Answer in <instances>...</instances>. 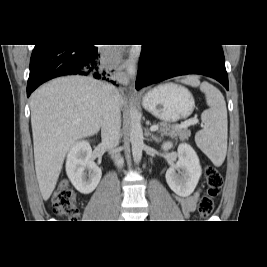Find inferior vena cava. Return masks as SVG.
Returning <instances> with one entry per match:
<instances>
[{"mask_svg": "<svg viewBox=\"0 0 267 267\" xmlns=\"http://www.w3.org/2000/svg\"><path fill=\"white\" fill-rule=\"evenodd\" d=\"M106 99H105V114L101 126L102 145L113 151L119 144L120 128H121V111L118 100V91L112 85L105 86ZM115 164L118 168L123 166V160L119 155L112 154Z\"/></svg>", "mask_w": 267, "mask_h": 267, "instance_id": "inferior-vena-cava-1", "label": "inferior vena cava"}]
</instances>
